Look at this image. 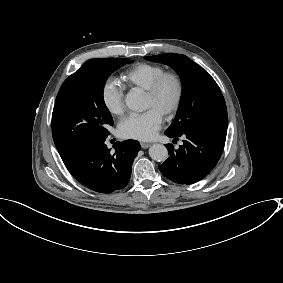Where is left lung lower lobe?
Segmentation results:
<instances>
[{"mask_svg":"<svg viewBox=\"0 0 283 283\" xmlns=\"http://www.w3.org/2000/svg\"><path fill=\"white\" fill-rule=\"evenodd\" d=\"M169 137H184L183 145L174 150L166 144L169 158L158 168L169 180L178 184H193L207 176L217 164L226 140L227 130H191L181 134L165 133Z\"/></svg>","mask_w":283,"mask_h":283,"instance_id":"left-lung-lower-lobe-1","label":"left lung lower lobe"}]
</instances>
